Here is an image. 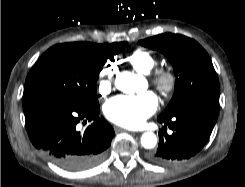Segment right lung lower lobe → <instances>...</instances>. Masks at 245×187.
<instances>
[{
    "mask_svg": "<svg viewBox=\"0 0 245 187\" xmlns=\"http://www.w3.org/2000/svg\"><path fill=\"white\" fill-rule=\"evenodd\" d=\"M99 113V107L65 101H44L24 109L33 145L68 171H83L97 165L110 146L115 132ZM87 120L92 124L79 131V124Z\"/></svg>",
    "mask_w": 245,
    "mask_h": 187,
    "instance_id": "1",
    "label": "right lung lower lobe"
}]
</instances>
